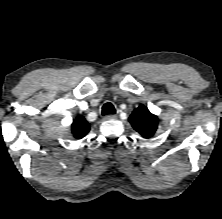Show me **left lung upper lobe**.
<instances>
[{
  "label": "left lung upper lobe",
  "instance_id": "1",
  "mask_svg": "<svg viewBox=\"0 0 222 219\" xmlns=\"http://www.w3.org/2000/svg\"><path fill=\"white\" fill-rule=\"evenodd\" d=\"M129 122L139 134L146 138L152 136L158 126L157 116L151 114L144 105H140L133 111Z\"/></svg>",
  "mask_w": 222,
  "mask_h": 219
}]
</instances>
